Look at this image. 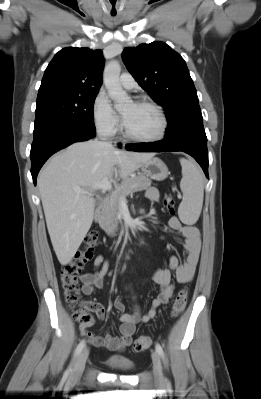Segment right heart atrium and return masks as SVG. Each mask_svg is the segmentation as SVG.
<instances>
[{"instance_id": "d8ad5b80", "label": "right heart atrium", "mask_w": 261, "mask_h": 399, "mask_svg": "<svg viewBox=\"0 0 261 399\" xmlns=\"http://www.w3.org/2000/svg\"><path fill=\"white\" fill-rule=\"evenodd\" d=\"M92 110L97 131L105 137L116 135L120 128V120L107 97L102 94L97 95Z\"/></svg>"}]
</instances>
